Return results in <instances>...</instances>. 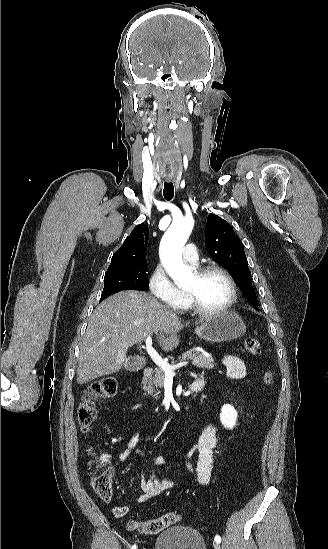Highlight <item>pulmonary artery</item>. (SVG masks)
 <instances>
[{"mask_svg":"<svg viewBox=\"0 0 328 549\" xmlns=\"http://www.w3.org/2000/svg\"><path fill=\"white\" fill-rule=\"evenodd\" d=\"M201 254V249L199 246H193L192 244L183 251V258L189 263L197 262L198 257Z\"/></svg>","mask_w":328,"mask_h":549,"instance_id":"pulmonary-artery-1","label":"pulmonary artery"}]
</instances>
